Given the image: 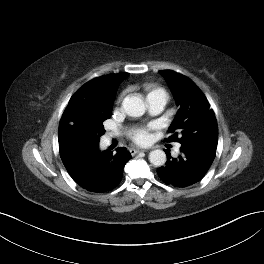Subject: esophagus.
Masks as SVG:
<instances>
[{"mask_svg": "<svg viewBox=\"0 0 264 264\" xmlns=\"http://www.w3.org/2000/svg\"><path fill=\"white\" fill-rule=\"evenodd\" d=\"M139 152H145V150H140V149H135V148H131V149H130V153H131V155H136V154H138Z\"/></svg>", "mask_w": 264, "mask_h": 264, "instance_id": "obj_1", "label": "esophagus"}]
</instances>
